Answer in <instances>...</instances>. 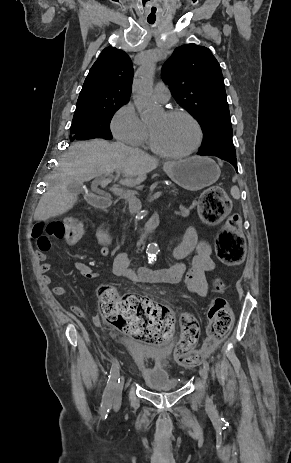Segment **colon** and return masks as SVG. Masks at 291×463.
<instances>
[{"label":"colon","instance_id":"5ec220e1","mask_svg":"<svg viewBox=\"0 0 291 463\" xmlns=\"http://www.w3.org/2000/svg\"><path fill=\"white\" fill-rule=\"evenodd\" d=\"M231 201L218 186L206 189L199 199V213L207 224L220 222L229 212ZM85 233L82 221L69 218L64 221L38 222L33 236L44 235L66 240L80 239ZM245 241L241 230V218L232 215L219 231L216 239V254L226 265H239L244 259ZM221 289V284H216ZM99 313L103 321L120 331L149 343H162L173 332V318L169 310L141 296L120 297L111 286L97 290ZM208 339L204 353L195 352L194 345L199 336L197 321L189 315L180 319L181 338L174 352L175 362L182 367L198 363L231 330L234 315L224 299L214 300L208 312Z\"/></svg>","mask_w":291,"mask_h":463}]
</instances>
